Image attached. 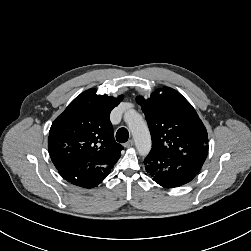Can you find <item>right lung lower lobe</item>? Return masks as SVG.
I'll use <instances>...</instances> for the list:
<instances>
[{
	"instance_id": "right-lung-lower-lobe-1",
	"label": "right lung lower lobe",
	"mask_w": 251,
	"mask_h": 251,
	"mask_svg": "<svg viewBox=\"0 0 251 251\" xmlns=\"http://www.w3.org/2000/svg\"><path fill=\"white\" fill-rule=\"evenodd\" d=\"M62 158L63 157H61L58 161H53L55 167L57 165V162H60V160ZM107 175L108 174H106L104 176H97L96 173L94 172L93 168L90 167V168L85 169V172L83 173V175L79 176L74 181H70V180H67V181H69L72 184H75L77 186L91 188V187H95L99 183H101Z\"/></svg>"
}]
</instances>
